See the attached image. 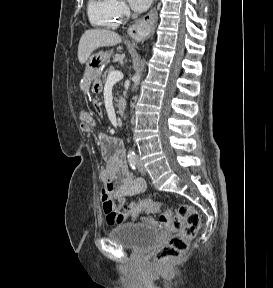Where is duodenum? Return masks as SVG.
Masks as SVG:
<instances>
[{"label":"duodenum","instance_id":"obj_1","mask_svg":"<svg viewBox=\"0 0 273 288\" xmlns=\"http://www.w3.org/2000/svg\"><path fill=\"white\" fill-rule=\"evenodd\" d=\"M115 109L119 116H123L126 110V102L124 100L118 101L115 106Z\"/></svg>","mask_w":273,"mask_h":288}]
</instances>
